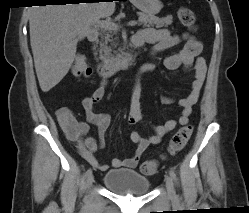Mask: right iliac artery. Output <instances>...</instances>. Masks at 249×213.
I'll return each instance as SVG.
<instances>
[{"label": "right iliac artery", "instance_id": "right-iliac-artery-1", "mask_svg": "<svg viewBox=\"0 0 249 213\" xmlns=\"http://www.w3.org/2000/svg\"><path fill=\"white\" fill-rule=\"evenodd\" d=\"M91 174H92V170H91V169H88V170L86 171V173H85L86 176H89V175H91Z\"/></svg>", "mask_w": 249, "mask_h": 213}]
</instances>
